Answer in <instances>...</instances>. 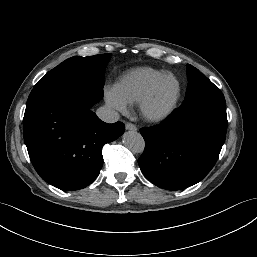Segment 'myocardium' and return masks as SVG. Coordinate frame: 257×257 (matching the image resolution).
Listing matches in <instances>:
<instances>
[{
	"mask_svg": "<svg viewBox=\"0 0 257 257\" xmlns=\"http://www.w3.org/2000/svg\"><path fill=\"white\" fill-rule=\"evenodd\" d=\"M167 77H173L176 79L177 84H178V90H177V94L174 98V100L172 101V103L168 106L167 109H165L163 112L158 113V114H153L149 111V105L152 102L158 87L160 86V84L163 82L164 79H166ZM182 93H183V86H182V82L179 79V77L177 75H175L172 72H165L163 75H161L160 77H158L150 86V88L148 89V91L146 92V94L143 96V98L141 99L140 103H139V110H140V114L141 116L148 122H152V123H160V122H164L166 121L168 118H170L173 113L176 111L179 102L181 100L182 97Z\"/></svg>",
	"mask_w": 257,
	"mask_h": 257,
	"instance_id": "1",
	"label": "myocardium"
}]
</instances>
